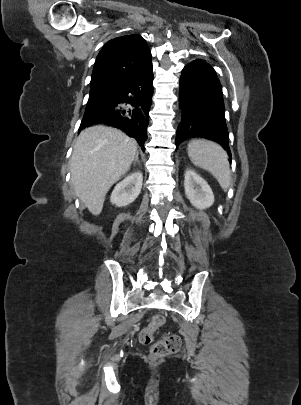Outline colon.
<instances>
[{"label":"colon","mask_w":301,"mask_h":405,"mask_svg":"<svg viewBox=\"0 0 301 405\" xmlns=\"http://www.w3.org/2000/svg\"><path fill=\"white\" fill-rule=\"evenodd\" d=\"M165 322L162 315H154L150 318L148 325L140 332L139 341L142 345H151L150 355L154 360L161 359L179 351L181 339L176 334H165L158 341L154 342V333Z\"/></svg>","instance_id":"colon-1"}]
</instances>
